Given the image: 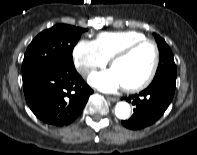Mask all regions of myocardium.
Here are the masks:
<instances>
[{"label":"myocardium","mask_w":197,"mask_h":155,"mask_svg":"<svg viewBox=\"0 0 197 155\" xmlns=\"http://www.w3.org/2000/svg\"><path fill=\"white\" fill-rule=\"evenodd\" d=\"M146 44H150L154 49V60H153L152 67H151L148 75L145 77V79L142 80L140 83L132 85V86H123V89L126 92H130V93L139 92V91L147 88L151 84V82L153 81V79L157 73V70L159 67V62H160V51H159L158 45L155 41H153L151 39H143V40L135 41V42H132V43L124 46L120 50H118L110 58V66L112 67L116 61L130 55L137 48H139L143 45H146Z\"/></svg>","instance_id":"1"}]
</instances>
